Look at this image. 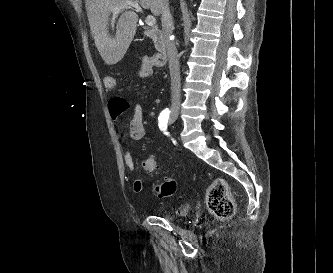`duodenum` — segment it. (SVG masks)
I'll use <instances>...</instances> for the list:
<instances>
[{
	"instance_id": "duodenum-1",
	"label": "duodenum",
	"mask_w": 333,
	"mask_h": 273,
	"mask_svg": "<svg viewBox=\"0 0 333 273\" xmlns=\"http://www.w3.org/2000/svg\"><path fill=\"white\" fill-rule=\"evenodd\" d=\"M144 34L154 42L158 54L162 60H166L171 43L165 36L164 32L161 29H150L145 31Z\"/></svg>"
}]
</instances>
